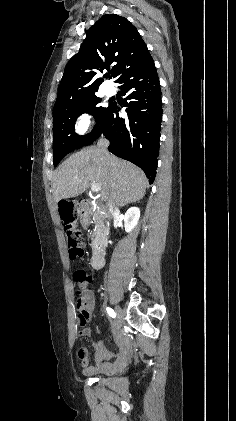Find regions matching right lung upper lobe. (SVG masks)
Masks as SVG:
<instances>
[{
	"instance_id": "right-lung-upper-lobe-1",
	"label": "right lung upper lobe",
	"mask_w": 236,
	"mask_h": 421,
	"mask_svg": "<svg viewBox=\"0 0 236 421\" xmlns=\"http://www.w3.org/2000/svg\"><path fill=\"white\" fill-rule=\"evenodd\" d=\"M150 53L137 29L124 17L103 15L87 32L79 52L68 62L60 82L54 109L86 96L95 95L102 78L98 73L112 66L118 77ZM53 109V110H54Z\"/></svg>"
}]
</instances>
